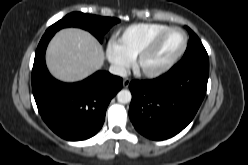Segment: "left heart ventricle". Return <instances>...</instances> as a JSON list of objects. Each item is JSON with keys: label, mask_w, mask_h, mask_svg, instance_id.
<instances>
[{"label": "left heart ventricle", "mask_w": 248, "mask_h": 165, "mask_svg": "<svg viewBox=\"0 0 248 165\" xmlns=\"http://www.w3.org/2000/svg\"><path fill=\"white\" fill-rule=\"evenodd\" d=\"M183 36L178 31L166 34L156 47L146 56L143 67L147 69L157 68L168 61L181 48Z\"/></svg>", "instance_id": "obj_1"}]
</instances>
